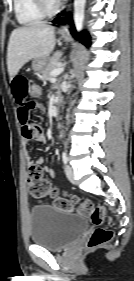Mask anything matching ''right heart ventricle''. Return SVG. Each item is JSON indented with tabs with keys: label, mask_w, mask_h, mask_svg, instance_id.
I'll return each mask as SVG.
<instances>
[{
	"label": "right heart ventricle",
	"mask_w": 134,
	"mask_h": 281,
	"mask_svg": "<svg viewBox=\"0 0 134 281\" xmlns=\"http://www.w3.org/2000/svg\"><path fill=\"white\" fill-rule=\"evenodd\" d=\"M13 7L18 23L23 26L38 24L45 17L38 9L35 0H13Z\"/></svg>",
	"instance_id": "obj_1"
}]
</instances>
